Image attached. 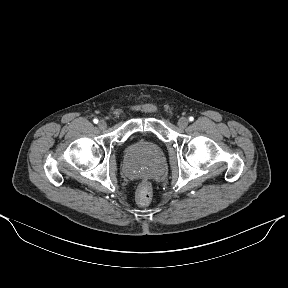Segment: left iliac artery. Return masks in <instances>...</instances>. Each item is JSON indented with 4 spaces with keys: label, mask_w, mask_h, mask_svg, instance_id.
<instances>
[{
    "label": "left iliac artery",
    "mask_w": 288,
    "mask_h": 288,
    "mask_svg": "<svg viewBox=\"0 0 288 288\" xmlns=\"http://www.w3.org/2000/svg\"><path fill=\"white\" fill-rule=\"evenodd\" d=\"M194 120V118L191 116V117H189V121H193Z\"/></svg>",
    "instance_id": "left-iliac-artery-1"
}]
</instances>
